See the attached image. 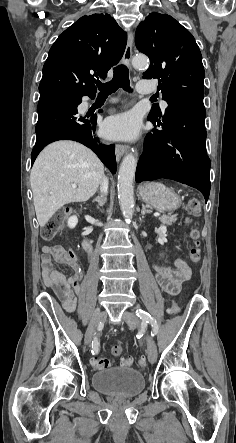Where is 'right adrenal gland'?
<instances>
[{
    "instance_id": "1",
    "label": "right adrenal gland",
    "mask_w": 236,
    "mask_h": 443,
    "mask_svg": "<svg viewBox=\"0 0 236 443\" xmlns=\"http://www.w3.org/2000/svg\"><path fill=\"white\" fill-rule=\"evenodd\" d=\"M106 196L105 197H96L93 202H97L98 204V208L100 209L101 207H103V205L106 203Z\"/></svg>"
}]
</instances>
